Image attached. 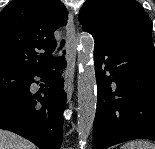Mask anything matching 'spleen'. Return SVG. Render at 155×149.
<instances>
[{"instance_id": "3e777b00", "label": "spleen", "mask_w": 155, "mask_h": 149, "mask_svg": "<svg viewBox=\"0 0 155 149\" xmlns=\"http://www.w3.org/2000/svg\"><path fill=\"white\" fill-rule=\"evenodd\" d=\"M120 149H155V144L146 140H135L125 143Z\"/></svg>"}]
</instances>
